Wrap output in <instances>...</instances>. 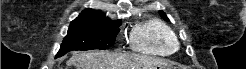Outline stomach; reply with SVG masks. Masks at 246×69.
Here are the masks:
<instances>
[{
	"label": "stomach",
	"mask_w": 246,
	"mask_h": 69,
	"mask_svg": "<svg viewBox=\"0 0 246 69\" xmlns=\"http://www.w3.org/2000/svg\"><path fill=\"white\" fill-rule=\"evenodd\" d=\"M149 69H176L175 67H172L170 65H156V66H152Z\"/></svg>",
	"instance_id": "0dacf381"
}]
</instances>
